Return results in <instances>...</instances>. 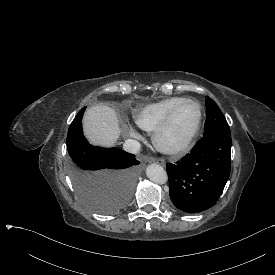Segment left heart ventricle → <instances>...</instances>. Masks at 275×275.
<instances>
[{"mask_svg": "<svg viewBox=\"0 0 275 275\" xmlns=\"http://www.w3.org/2000/svg\"><path fill=\"white\" fill-rule=\"evenodd\" d=\"M197 117V108L192 103L181 104L174 113L167 140L177 142L191 130Z\"/></svg>", "mask_w": 275, "mask_h": 275, "instance_id": "left-heart-ventricle-1", "label": "left heart ventricle"}]
</instances>
